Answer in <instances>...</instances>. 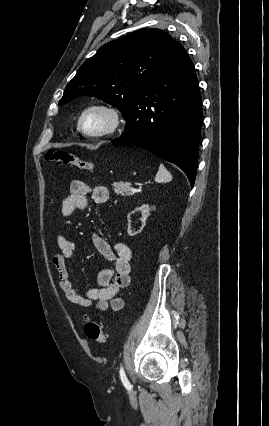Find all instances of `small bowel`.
Returning a JSON list of instances; mask_svg holds the SVG:
<instances>
[{
  "instance_id": "obj_1",
  "label": "small bowel",
  "mask_w": 269,
  "mask_h": 426,
  "mask_svg": "<svg viewBox=\"0 0 269 426\" xmlns=\"http://www.w3.org/2000/svg\"><path fill=\"white\" fill-rule=\"evenodd\" d=\"M90 192L96 204L104 205L110 199L107 187L97 186L91 189L85 182L74 180L70 183L69 195L62 202L61 215L69 217L76 209H86L87 195ZM92 239L95 249L107 261L112 262L113 267L101 270L97 275L96 286L88 289L84 295L79 294L73 286L67 266V260L76 253V245L65 236H59L57 239L59 251L52 258L59 277V289L65 294L66 302L70 304L82 308L95 307L100 311L110 307L118 311L124 306V302L117 294L131 281V249L125 243H118L113 252L107 240L100 234H94Z\"/></svg>"
}]
</instances>
